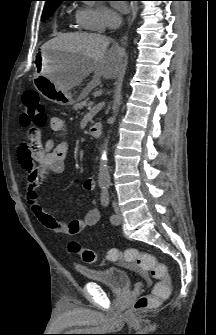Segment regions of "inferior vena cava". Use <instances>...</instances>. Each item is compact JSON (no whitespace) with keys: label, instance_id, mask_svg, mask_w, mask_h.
Instances as JSON below:
<instances>
[{"label":"inferior vena cava","instance_id":"obj_1","mask_svg":"<svg viewBox=\"0 0 216 335\" xmlns=\"http://www.w3.org/2000/svg\"><path fill=\"white\" fill-rule=\"evenodd\" d=\"M121 22L122 21L120 17H115L110 24V28L113 30L119 28V26L121 25Z\"/></svg>","mask_w":216,"mask_h":335}]
</instances>
